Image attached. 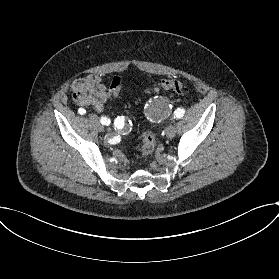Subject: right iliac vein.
I'll return each mask as SVG.
<instances>
[{"label": "right iliac vein", "mask_w": 279, "mask_h": 279, "mask_svg": "<svg viewBox=\"0 0 279 279\" xmlns=\"http://www.w3.org/2000/svg\"><path fill=\"white\" fill-rule=\"evenodd\" d=\"M90 118H91L92 120H94V121H97V122H98V130H99L100 132H104V127H103V125L99 122L98 116H97L96 114H92Z\"/></svg>", "instance_id": "obj_1"}]
</instances>
